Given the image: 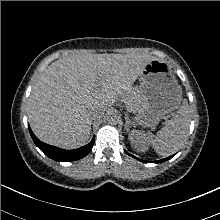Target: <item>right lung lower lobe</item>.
I'll list each match as a JSON object with an SVG mask.
<instances>
[{"mask_svg":"<svg viewBox=\"0 0 220 220\" xmlns=\"http://www.w3.org/2000/svg\"><path fill=\"white\" fill-rule=\"evenodd\" d=\"M29 131L31 134V137L34 141V143L36 144V146L45 154L47 155L49 158L56 160V161H75L78 160L84 156H86L92 149L93 145H94V141L95 139L93 138L92 141L84 146L81 147L79 149H75V150H63V149H59L55 146H51L48 144H45L43 142H41L32 132V130L29 127Z\"/></svg>","mask_w":220,"mask_h":220,"instance_id":"right-lung-lower-lobe-1","label":"right lung lower lobe"}]
</instances>
